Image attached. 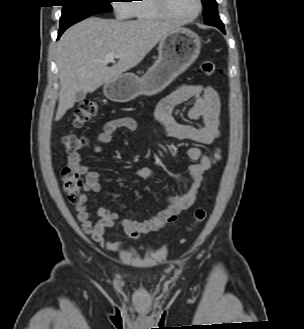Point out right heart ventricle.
Wrapping results in <instances>:
<instances>
[{
    "label": "right heart ventricle",
    "instance_id": "obj_1",
    "mask_svg": "<svg viewBox=\"0 0 304 329\" xmlns=\"http://www.w3.org/2000/svg\"><path fill=\"white\" fill-rule=\"evenodd\" d=\"M134 2V1H133ZM130 4V16L139 21H156L165 19L155 0H135Z\"/></svg>",
    "mask_w": 304,
    "mask_h": 329
}]
</instances>
